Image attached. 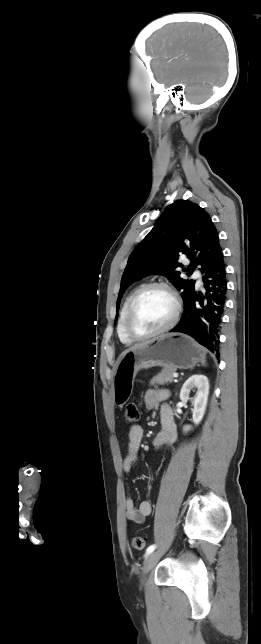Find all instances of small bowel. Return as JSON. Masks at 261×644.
I'll use <instances>...</instances> for the list:
<instances>
[{"label":"small bowel","instance_id":"obj_1","mask_svg":"<svg viewBox=\"0 0 261 644\" xmlns=\"http://www.w3.org/2000/svg\"><path fill=\"white\" fill-rule=\"evenodd\" d=\"M169 396L168 391L163 389H150L144 395V408L146 411L156 410L160 407V421L162 429L153 438L152 445L155 449L172 446L178 437V430L174 421V415L171 407L163 403ZM143 438V429L140 425H133L128 433V445L126 456L123 460V471L130 472L138 459V453ZM151 513V504L149 501H142L138 506L135 505L131 497L125 500V516L128 520L141 524Z\"/></svg>","mask_w":261,"mask_h":644}]
</instances>
